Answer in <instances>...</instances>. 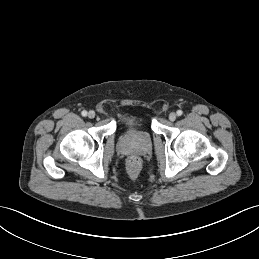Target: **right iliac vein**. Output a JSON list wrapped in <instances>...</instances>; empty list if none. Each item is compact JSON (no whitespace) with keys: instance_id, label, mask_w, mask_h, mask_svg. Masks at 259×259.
<instances>
[{"instance_id":"right-iliac-vein-1","label":"right iliac vein","mask_w":259,"mask_h":259,"mask_svg":"<svg viewBox=\"0 0 259 259\" xmlns=\"http://www.w3.org/2000/svg\"><path fill=\"white\" fill-rule=\"evenodd\" d=\"M95 116H96V114H95V112H94V111H89V113H88V117H89L90 119L95 118Z\"/></svg>"}]
</instances>
